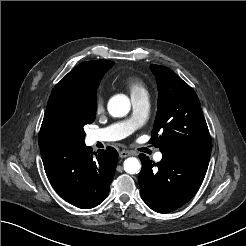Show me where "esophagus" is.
I'll use <instances>...</instances> for the list:
<instances>
[{
	"mask_svg": "<svg viewBox=\"0 0 246 246\" xmlns=\"http://www.w3.org/2000/svg\"><path fill=\"white\" fill-rule=\"evenodd\" d=\"M131 155H132V153L130 151H127V150H122L119 152V156L121 158H126V157L131 156Z\"/></svg>",
	"mask_w": 246,
	"mask_h": 246,
	"instance_id": "esophagus-1",
	"label": "esophagus"
}]
</instances>
